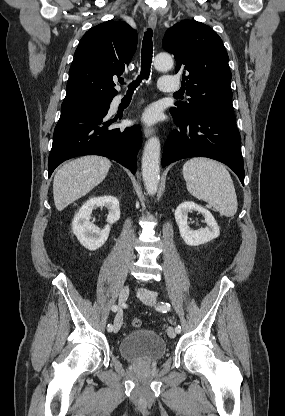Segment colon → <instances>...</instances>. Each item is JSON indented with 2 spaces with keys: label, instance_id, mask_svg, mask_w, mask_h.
Wrapping results in <instances>:
<instances>
[{
  "label": "colon",
  "instance_id": "1",
  "mask_svg": "<svg viewBox=\"0 0 285 416\" xmlns=\"http://www.w3.org/2000/svg\"><path fill=\"white\" fill-rule=\"evenodd\" d=\"M131 325H132V327H134V328H138V327H140V326H141V320H140V319H138V318H134V319L131 321Z\"/></svg>",
  "mask_w": 285,
  "mask_h": 416
}]
</instances>
